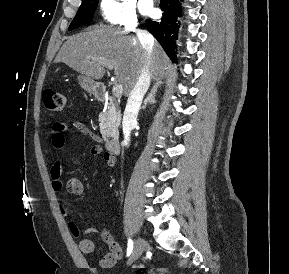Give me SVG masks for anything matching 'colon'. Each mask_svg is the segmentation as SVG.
Masks as SVG:
<instances>
[{
	"instance_id": "5ec220e1",
	"label": "colon",
	"mask_w": 289,
	"mask_h": 274,
	"mask_svg": "<svg viewBox=\"0 0 289 274\" xmlns=\"http://www.w3.org/2000/svg\"><path fill=\"white\" fill-rule=\"evenodd\" d=\"M42 98L45 107L53 112L63 111L67 104L65 95L54 90H45Z\"/></svg>"
}]
</instances>
